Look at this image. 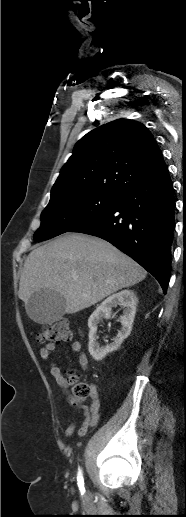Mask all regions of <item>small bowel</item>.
<instances>
[{"label": "small bowel", "mask_w": 186, "mask_h": 517, "mask_svg": "<svg viewBox=\"0 0 186 517\" xmlns=\"http://www.w3.org/2000/svg\"><path fill=\"white\" fill-rule=\"evenodd\" d=\"M55 348H56V344H54V343L46 344L45 346H43L39 350L40 358L43 361H48L50 359V355H51L52 351H54ZM71 349H72L73 352L78 354V362H79V365H80L81 369L83 371H87V369H88V358H87L86 354L82 352L80 342L73 341L72 344H71ZM50 372H51V375L54 377L56 383L61 388L64 389V388L67 387V380L64 377L61 368L57 364L52 363L50 365ZM92 388H93V396H94L95 400H94V402L92 403V405L90 407H86V406L82 405L80 402H76L74 404V408L76 410H82L83 411V415H84L83 422H82L80 428L78 429V435L80 437L85 436L87 431H88V429L90 427L95 426L97 424V422H98V419H99L100 404H99V401L97 400L96 389H95L94 386H92ZM76 426H77L76 425V421L75 420L72 421L67 426V428L65 430V435L67 437L72 436L73 433L76 430Z\"/></svg>", "instance_id": "obj_1"}]
</instances>
